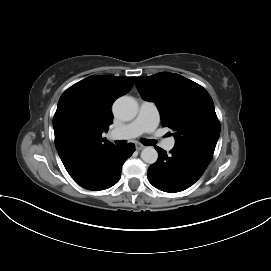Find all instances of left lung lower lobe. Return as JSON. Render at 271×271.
Instances as JSON below:
<instances>
[{
	"label": "left lung lower lobe",
	"instance_id": "0a47b994",
	"mask_svg": "<svg viewBox=\"0 0 271 271\" xmlns=\"http://www.w3.org/2000/svg\"><path fill=\"white\" fill-rule=\"evenodd\" d=\"M158 160L148 168L149 182L165 192H180L193 185L209 165L212 155L191 148L174 147L167 154L155 146Z\"/></svg>",
	"mask_w": 271,
	"mask_h": 271
}]
</instances>
